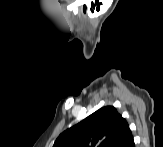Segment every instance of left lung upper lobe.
I'll list each match as a JSON object with an SVG mask.
<instances>
[{
    "instance_id": "5c2ea615",
    "label": "left lung upper lobe",
    "mask_w": 163,
    "mask_h": 147,
    "mask_svg": "<svg viewBox=\"0 0 163 147\" xmlns=\"http://www.w3.org/2000/svg\"><path fill=\"white\" fill-rule=\"evenodd\" d=\"M127 126L116 108L102 107L61 133L53 147H115Z\"/></svg>"
}]
</instances>
